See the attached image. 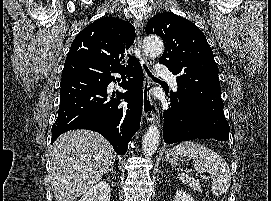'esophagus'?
I'll return each instance as SVG.
<instances>
[{
    "label": "esophagus",
    "instance_id": "34e87169",
    "mask_svg": "<svg viewBox=\"0 0 271 201\" xmlns=\"http://www.w3.org/2000/svg\"><path fill=\"white\" fill-rule=\"evenodd\" d=\"M134 26L136 29V35H137V47L140 54L141 61L147 65L148 67L151 66V61L146 56V54L143 52L142 49V42H143V23L141 20L136 19L134 20ZM151 87H152V80L145 72L144 74V84H143V114L146 118V120L150 123H156L158 127H161L160 123V116L159 111L154 104L152 94H151Z\"/></svg>",
    "mask_w": 271,
    "mask_h": 201
}]
</instances>
